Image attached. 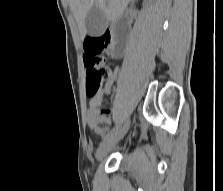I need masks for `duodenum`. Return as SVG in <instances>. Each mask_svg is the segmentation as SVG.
I'll use <instances>...</instances> for the list:
<instances>
[{
	"label": "duodenum",
	"mask_w": 223,
	"mask_h": 191,
	"mask_svg": "<svg viewBox=\"0 0 223 191\" xmlns=\"http://www.w3.org/2000/svg\"><path fill=\"white\" fill-rule=\"evenodd\" d=\"M128 33H129V27L127 25V22L123 20L116 27V34L120 38L121 42L114 51L113 56L117 57L119 54L123 52Z\"/></svg>",
	"instance_id": "duodenum-1"
}]
</instances>
